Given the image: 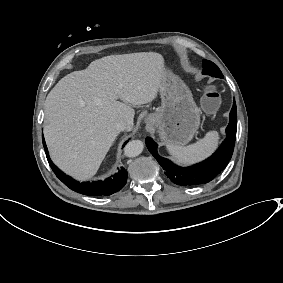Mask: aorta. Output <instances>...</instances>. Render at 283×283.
<instances>
[{
    "instance_id": "1",
    "label": "aorta",
    "mask_w": 283,
    "mask_h": 283,
    "mask_svg": "<svg viewBox=\"0 0 283 283\" xmlns=\"http://www.w3.org/2000/svg\"><path fill=\"white\" fill-rule=\"evenodd\" d=\"M144 143L140 140L130 141L124 148V155L126 157H136L143 151Z\"/></svg>"
}]
</instances>
